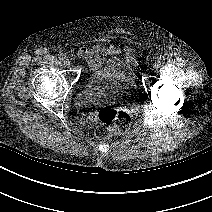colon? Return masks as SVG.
Listing matches in <instances>:
<instances>
[{
    "mask_svg": "<svg viewBox=\"0 0 212 212\" xmlns=\"http://www.w3.org/2000/svg\"><path fill=\"white\" fill-rule=\"evenodd\" d=\"M94 120L98 123L95 134L102 139L125 132L131 123V117L128 113L113 108L97 111Z\"/></svg>",
    "mask_w": 212,
    "mask_h": 212,
    "instance_id": "obj_1",
    "label": "colon"
}]
</instances>
